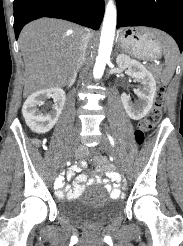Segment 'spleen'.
<instances>
[{"instance_id":"3e777b00","label":"spleen","mask_w":183,"mask_h":246,"mask_svg":"<svg viewBox=\"0 0 183 246\" xmlns=\"http://www.w3.org/2000/svg\"><path fill=\"white\" fill-rule=\"evenodd\" d=\"M154 34L158 41L163 42V54L166 59V63L161 74V82L166 85L171 80L176 68L178 47L174 40L167 34L157 30Z\"/></svg>"}]
</instances>
